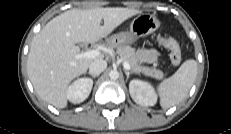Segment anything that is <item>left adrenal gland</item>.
<instances>
[{"label":"left adrenal gland","instance_id":"1","mask_svg":"<svg viewBox=\"0 0 231 134\" xmlns=\"http://www.w3.org/2000/svg\"><path fill=\"white\" fill-rule=\"evenodd\" d=\"M124 72H125V75H126V77H127V80H128V78H129L130 74L133 73L132 71H128V70H125Z\"/></svg>","mask_w":231,"mask_h":134}]
</instances>
